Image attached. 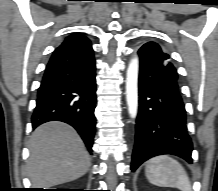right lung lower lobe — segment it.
I'll return each mask as SVG.
<instances>
[{
    "mask_svg": "<svg viewBox=\"0 0 218 191\" xmlns=\"http://www.w3.org/2000/svg\"><path fill=\"white\" fill-rule=\"evenodd\" d=\"M95 60L85 36H68L53 52L38 89L32 115L35 129L48 121L73 126L92 153L96 117Z\"/></svg>",
    "mask_w": 218,
    "mask_h": 191,
    "instance_id": "1",
    "label": "right lung lower lobe"
}]
</instances>
